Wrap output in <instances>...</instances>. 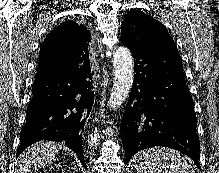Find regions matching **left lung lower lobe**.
<instances>
[{"mask_svg":"<svg viewBox=\"0 0 219 173\" xmlns=\"http://www.w3.org/2000/svg\"><path fill=\"white\" fill-rule=\"evenodd\" d=\"M134 84L121 121L126 163L140 150L165 146L199 165L200 142L192 96L178 52L136 47Z\"/></svg>","mask_w":219,"mask_h":173,"instance_id":"left-lung-lower-lobe-1","label":"left lung lower lobe"}]
</instances>
